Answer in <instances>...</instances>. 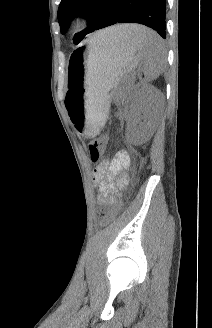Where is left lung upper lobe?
<instances>
[{"instance_id":"left-lung-upper-lobe-1","label":"left lung upper lobe","mask_w":212,"mask_h":328,"mask_svg":"<svg viewBox=\"0 0 212 328\" xmlns=\"http://www.w3.org/2000/svg\"><path fill=\"white\" fill-rule=\"evenodd\" d=\"M106 0H62L58 8V21L61 33L64 34L71 21L77 16H84L88 26L81 33L73 37L75 44L80 43L88 33L94 31L104 10Z\"/></svg>"}]
</instances>
